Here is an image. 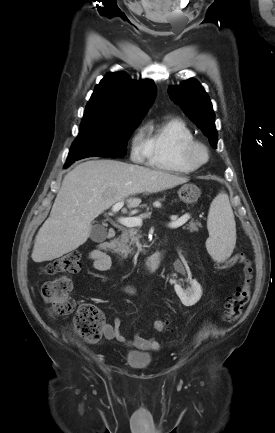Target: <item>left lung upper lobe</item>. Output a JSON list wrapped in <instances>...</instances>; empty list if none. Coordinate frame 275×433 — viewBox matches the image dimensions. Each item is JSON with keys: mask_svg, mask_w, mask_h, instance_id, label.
I'll use <instances>...</instances> for the list:
<instances>
[{"mask_svg": "<svg viewBox=\"0 0 275 433\" xmlns=\"http://www.w3.org/2000/svg\"><path fill=\"white\" fill-rule=\"evenodd\" d=\"M168 92L189 119L209 138L211 146L216 148L218 135L215 115L209 96L200 83L189 79L179 86L170 87Z\"/></svg>", "mask_w": 275, "mask_h": 433, "instance_id": "left-lung-upper-lobe-1", "label": "left lung upper lobe"}]
</instances>
